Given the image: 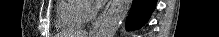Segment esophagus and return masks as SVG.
<instances>
[{
    "mask_svg": "<svg viewBox=\"0 0 219 37\" xmlns=\"http://www.w3.org/2000/svg\"><path fill=\"white\" fill-rule=\"evenodd\" d=\"M108 6H109V4L107 5V7L104 10V12L102 13V15L96 20V22L91 27V29L89 31V34H90L91 37H96V35L99 33V27H100V24L102 22L103 16H104Z\"/></svg>",
    "mask_w": 219,
    "mask_h": 37,
    "instance_id": "obj_1",
    "label": "esophagus"
}]
</instances>
